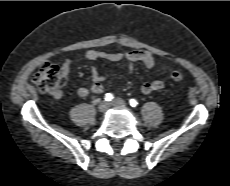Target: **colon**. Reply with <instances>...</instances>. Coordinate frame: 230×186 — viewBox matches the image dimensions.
<instances>
[{
    "instance_id": "5ec220e1",
    "label": "colon",
    "mask_w": 230,
    "mask_h": 186,
    "mask_svg": "<svg viewBox=\"0 0 230 186\" xmlns=\"http://www.w3.org/2000/svg\"><path fill=\"white\" fill-rule=\"evenodd\" d=\"M170 78L175 82H181L185 74L182 71H172ZM33 82L41 92L54 95L59 94L65 85V79L59 67L52 62H45L39 67L33 76Z\"/></svg>"
}]
</instances>
